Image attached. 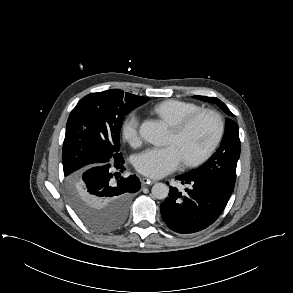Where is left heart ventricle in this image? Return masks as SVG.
<instances>
[{"label": "left heart ventricle", "instance_id": "b2bd125f", "mask_svg": "<svg viewBox=\"0 0 293 293\" xmlns=\"http://www.w3.org/2000/svg\"><path fill=\"white\" fill-rule=\"evenodd\" d=\"M215 131V120L205 115L197 119L182 135H176L171 130L166 144L175 145L184 160L200 154L212 140Z\"/></svg>", "mask_w": 293, "mask_h": 293}]
</instances>
